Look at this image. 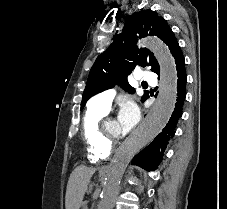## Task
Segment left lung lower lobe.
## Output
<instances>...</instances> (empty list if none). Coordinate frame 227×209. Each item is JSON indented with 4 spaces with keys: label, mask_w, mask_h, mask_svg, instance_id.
Returning a JSON list of instances; mask_svg holds the SVG:
<instances>
[{
    "label": "left lung lower lobe",
    "mask_w": 227,
    "mask_h": 209,
    "mask_svg": "<svg viewBox=\"0 0 227 209\" xmlns=\"http://www.w3.org/2000/svg\"><path fill=\"white\" fill-rule=\"evenodd\" d=\"M175 63L177 68V102L175 109L169 119V122L159 133L155 139L139 152L132 160V164L138 165L146 170H155L162 160L164 150L170 138L174 134L175 125L182 114V106L186 97V81L185 60L182 50L179 48L175 55Z\"/></svg>",
    "instance_id": "0a47b994"
}]
</instances>
